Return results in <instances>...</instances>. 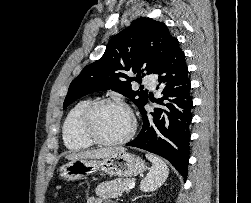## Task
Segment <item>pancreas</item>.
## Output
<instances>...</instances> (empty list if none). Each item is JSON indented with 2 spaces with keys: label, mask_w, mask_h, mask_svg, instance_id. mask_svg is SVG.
<instances>
[{
  "label": "pancreas",
  "mask_w": 251,
  "mask_h": 203,
  "mask_svg": "<svg viewBox=\"0 0 251 203\" xmlns=\"http://www.w3.org/2000/svg\"><path fill=\"white\" fill-rule=\"evenodd\" d=\"M131 182V179L105 181L96 187L95 192L101 198H118L124 192H129L128 185Z\"/></svg>",
  "instance_id": "obj_1"
}]
</instances>
